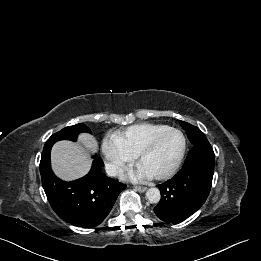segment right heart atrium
I'll return each instance as SVG.
<instances>
[{"label":"right heart atrium","instance_id":"d8ad5b80","mask_svg":"<svg viewBox=\"0 0 261 261\" xmlns=\"http://www.w3.org/2000/svg\"><path fill=\"white\" fill-rule=\"evenodd\" d=\"M102 152L106 158L108 170L112 175L121 174L125 167L133 162V156L120 145L114 136L103 140Z\"/></svg>","mask_w":261,"mask_h":261}]
</instances>
